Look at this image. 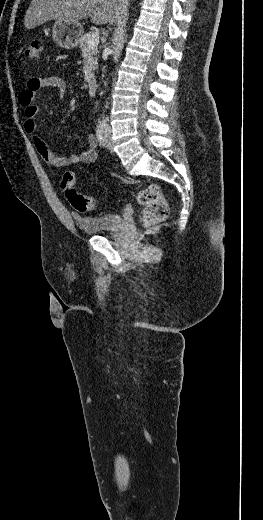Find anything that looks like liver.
Returning <instances> with one entry per match:
<instances>
[{"instance_id": "6515ba94", "label": "liver", "mask_w": 263, "mask_h": 520, "mask_svg": "<svg viewBox=\"0 0 263 520\" xmlns=\"http://www.w3.org/2000/svg\"><path fill=\"white\" fill-rule=\"evenodd\" d=\"M128 0H32L24 25L32 29L49 20L75 22L91 18L94 24H113L125 12Z\"/></svg>"}]
</instances>
